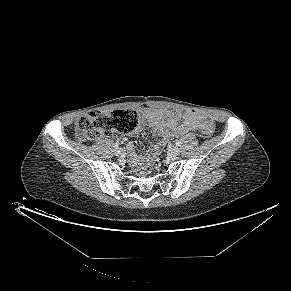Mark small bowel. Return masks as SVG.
I'll use <instances>...</instances> for the list:
<instances>
[{"label":"small bowel","instance_id":"c3829d8e","mask_svg":"<svg viewBox=\"0 0 291 291\" xmlns=\"http://www.w3.org/2000/svg\"><path fill=\"white\" fill-rule=\"evenodd\" d=\"M142 118L143 124L152 127L156 135L161 138V141L151 146L143 156L131 152L134 161L146 163L154 159L161 147L170 138L184 135L210 123L205 116L195 111L171 113L161 109L145 108L142 110ZM128 148L132 150V144H129Z\"/></svg>","mask_w":291,"mask_h":291}]
</instances>
